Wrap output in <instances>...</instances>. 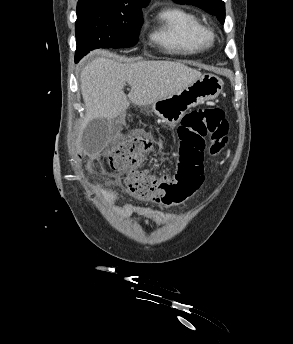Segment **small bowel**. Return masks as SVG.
<instances>
[{"mask_svg": "<svg viewBox=\"0 0 293 344\" xmlns=\"http://www.w3.org/2000/svg\"><path fill=\"white\" fill-rule=\"evenodd\" d=\"M155 145L158 149H161L163 147V144L159 141H156ZM196 175L201 178L202 184L204 180L203 165L197 168ZM103 193L108 199L113 212L122 218H127L132 215H140L147 218L153 224H160L170 219L169 215L142 205L127 203L125 205L120 206L118 204L119 197L115 192L109 189H104Z\"/></svg>", "mask_w": 293, "mask_h": 344, "instance_id": "1", "label": "small bowel"}]
</instances>
